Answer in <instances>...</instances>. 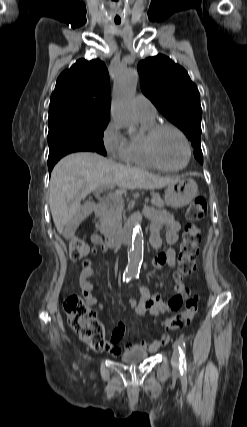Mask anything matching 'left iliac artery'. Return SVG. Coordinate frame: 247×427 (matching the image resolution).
Wrapping results in <instances>:
<instances>
[{
    "label": "left iliac artery",
    "mask_w": 247,
    "mask_h": 427,
    "mask_svg": "<svg viewBox=\"0 0 247 427\" xmlns=\"http://www.w3.org/2000/svg\"><path fill=\"white\" fill-rule=\"evenodd\" d=\"M135 278L138 279L139 275H135ZM179 344V352H180V368L183 370H186L187 367V360H186V345L183 338L178 339Z\"/></svg>",
    "instance_id": "left-iliac-artery-1"
}]
</instances>
